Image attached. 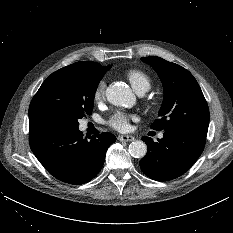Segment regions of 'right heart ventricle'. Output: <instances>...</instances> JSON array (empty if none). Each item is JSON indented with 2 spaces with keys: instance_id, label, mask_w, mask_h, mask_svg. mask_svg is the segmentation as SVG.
<instances>
[{
  "instance_id": "e07e8e85",
  "label": "right heart ventricle",
  "mask_w": 233,
  "mask_h": 233,
  "mask_svg": "<svg viewBox=\"0 0 233 233\" xmlns=\"http://www.w3.org/2000/svg\"><path fill=\"white\" fill-rule=\"evenodd\" d=\"M126 77L136 92L147 91L151 86L150 78L140 70H130Z\"/></svg>"
}]
</instances>
